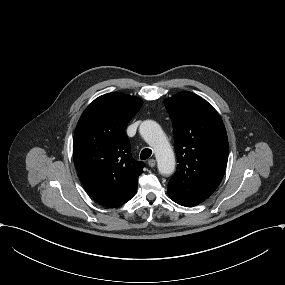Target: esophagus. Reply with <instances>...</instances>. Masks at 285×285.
<instances>
[{"mask_svg":"<svg viewBox=\"0 0 285 285\" xmlns=\"http://www.w3.org/2000/svg\"><path fill=\"white\" fill-rule=\"evenodd\" d=\"M148 165L150 166V167H154L155 165H156V161H155V159H149L148 160Z\"/></svg>","mask_w":285,"mask_h":285,"instance_id":"esophagus-1","label":"esophagus"}]
</instances>
